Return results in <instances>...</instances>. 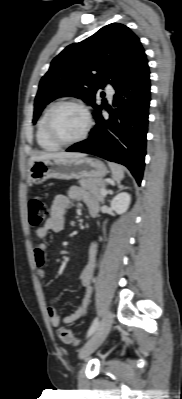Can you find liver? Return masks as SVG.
<instances>
[{"label": "liver", "instance_id": "obj_1", "mask_svg": "<svg viewBox=\"0 0 182 399\" xmlns=\"http://www.w3.org/2000/svg\"><path fill=\"white\" fill-rule=\"evenodd\" d=\"M85 155L82 153H66V152H59V153H43L40 155H34L30 158L29 163H33L34 161L38 160H45V159H51V158H67V159H77V158H82Z\"/></svg>", "mask_w": 182, "mask_h": 399}]
</instances>
